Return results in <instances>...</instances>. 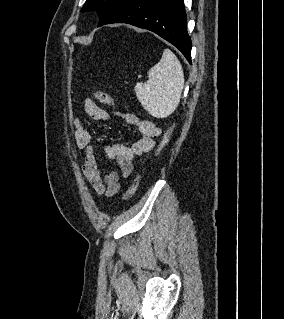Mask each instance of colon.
I'll list each match as a JSON object with an SVG mask.
<instances>
[{
  "label": "colon",
  "mask_w": 284,
  "mask_h": 319,
  "mask_svg": "<svg viewBox=\"0 0 284 319\" xmlns=\"http://www.w3.org/2000/svg\"><path fill=\"white\" fill-rule=\"evenodd\" d=\"M94 96L100 103H103L105 105L113 106L115 104L113 98L104 90H96L94 92ZM171 132H172V127L170 126L165 131L163 138L157 148V152L161 151L168 144L170 136H171ZM138 182H139V178L138 176H135V178L133 179L130 186L128 187V189L126 190V192L124 193L122 197L123 201L129 200L134 195L136 188L138 186Z\"/></svg>",
  "instance_id": "1"
}]
</instances>
